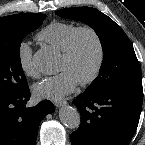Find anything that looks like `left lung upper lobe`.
Returning a JSON list of instances; mask_svg holds the SVG:
<instances>
[{
    "instance_id": "5c2ea615",
    "label": "left lung upper lobe",
    "mask_w": 145,
    "mask_h": 145,
    "mask_svg": "<svg viewBox=\"0 0 145 145\" xmlns=\"http://www.w3.org/2000/svg\"><path fill=\"white\" fill-rule=\"evenodd\" d=\"M56 14L88 24L101 41L104 57L99 75L85 92L95 94L142 84L141 69L132 43L122 28L111 18L91 7L61 9Z\"/></svg>"
}]
</instances>
